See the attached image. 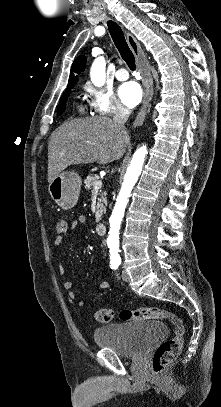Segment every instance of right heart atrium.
Wrapping results in <instances>:
<instances>
[{"label":"right heart atrium","mask_w":221,"mask_h":407,"mask_svg":"<svg viewBox=\"0 0 221 407\" xmlns=\"http://www.w3.org/2000/svg\"><path fill=\"white\" fill-rule=\"evenodd\" d=\"M89 97L91 109L99 115L127 113L128 108L110 91L95 87L91 83L84 85Z\"/></svg>","instance_id":"obj_1"}]
</instances>
